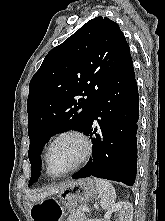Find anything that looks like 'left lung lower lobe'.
I'll return each mask as SVG.
<instances>
[{
    "mask_svg": "<svg viewBox=\"0 0 165 221\" xmlns=\"http://www.w3.org/2000/svg\"><path fill=\"white\" fill-rule=\"evenodd\" d=\"M138 119V88L130 57L102 92L82 130L92 137L93 153L73 178L94 176L132 186L137 170Z\"/></svg>",
    "mask_w": 165,
    "mask_h": 221,
    "instance_id": "0a47b994",
    "label": "left lung lower lobe"
}]
</instances>
